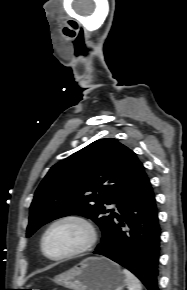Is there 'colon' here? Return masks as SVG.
<instances>
[{"mask_svg":"<svg viewBox=\"0 0 187 290\" xmlns=\"http://www.w3.org/2000/svg\"><path fill=\"white\" fill-rule=\"evenodd\" d=\"M31 290H41V289H31Z\"/></svg>","mask_w":187,"mask_h":290,"instance_id":"obj_1","label":"colon"}]
</instances>
